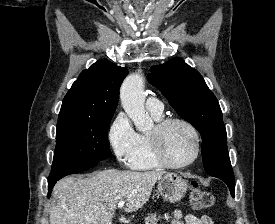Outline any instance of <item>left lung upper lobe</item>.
Here are the masks:
<instances>
[{
  "label": "left lung upper lobe",
  "mask_w": 275,
  "mask_h": 224,
  "mask_svg": "<svg viewBox=\"0 0 275 224\" xmlns=\"http://www.w3.org/2000/svg\"><path fill=\"white\" fill-rule=\"evenodd\" d=\"M150 70L148 81L161 91L180 117L200 132L206 172L217 178L234 179L222 111L200 73L178 57Z\"/></svg>",
  "instance_id": "left-lung-upper-lobe-1"
}]
</instances>
